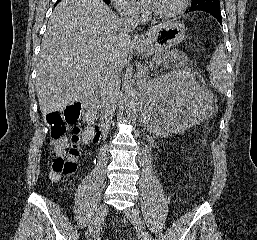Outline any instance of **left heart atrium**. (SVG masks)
Instances as JSON below:
<instances>
[{
  "mask_svg": "<svg viewBox=\"0 0 257 240\" xmlns=\"http://www.w3.org/2000/svg\"><path fill=\"white\" fill-rule=\"evenodd\" d=\"M143 5L149 9H152L155 3V0H141Z\"/></svg>",
  "mask_w": 257,
  "mask_h": 240,
  "instance_id": "39dd6f15",
  "label": "left heart atrium"
}]
</instances>
